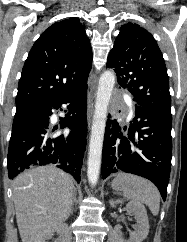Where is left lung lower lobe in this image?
Masks as SVG:
<instances>
[{
	"label": "left lung lower lobe",
	"mask_w": 187,
	"mask_h": 242,
	"mask_svg": "<svg viewBox=\"0 0 187 242\" xmlns=\"http://www.w3.org/2000/svg\"><path fill=\"white\" fill-rule=\"evenodd\" d=\"M171 126V115L138 104L128 136L123 135L116 120H108L103 143L102 178L118 171L142 176L158 187L165 201L171 171Z\"/></svg>",
	"instance_id": "0a47b994"
}]
</instances>
